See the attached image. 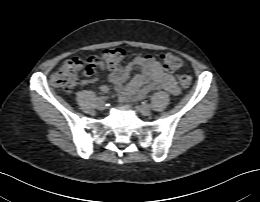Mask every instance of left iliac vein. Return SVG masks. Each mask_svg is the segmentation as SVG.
Returning a JSON list of instances; mask_svg holds the SVG:
<instances>
[{
  "instance_id": "4c4485c4",
  "label": "left iliac vein",
  "mask_w": 260,
  "mask_h": 202,
  "mask_svg": "<svg viewBox=\"0 0 260 202\" xmlns=\"http://www.w3.org/2000/svg\"><path fill=\"white\" fill-rule=\"evenodd\" d=\"M135 108L144 116H149L151 114V109L149 105H136Z\"/></svg>"
}]
</instances>
